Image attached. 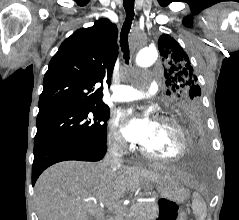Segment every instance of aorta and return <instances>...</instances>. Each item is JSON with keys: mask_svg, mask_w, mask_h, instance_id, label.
Returning a JSON list of instances; mask_svg holds the SVG:
<instances>
[{"mask_svg": "<svg viewBox=\"0 0 239 220\" xmlns=\"http://www.w3.org/2000/svg\"><path fill=\"white\" fill-rule=\"evenodd\" d=\"M158 57V53L155 47L146 46L141 48L136 55V64L139 67L151 66Z\"/></svg>", "mask_w": 239, "mask_h": 220, "instance_id": "1", "label": "aorta"}]
</instances>
